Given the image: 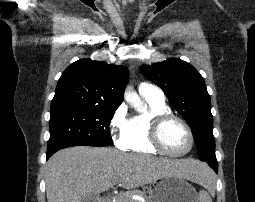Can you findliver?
<instances>
[{
  "instance_id": "1",
  "label": "liver",
  "mask_w": 255,
  "mask_h": 202,
  "mask_svg": "<svg viewBox=\"0 0 255 202\" xmlns=\"http://www.w3.org/2000/svg\"><path fill=\"white\" fill-rule=\"evenodd\" d=\"M194 159H166L128 154L110 147L78 146L55 153L46 164L47 202H82L88 194L98 195L116 183L132 189L165 175L199 182Z\"/></svg>"
}]
</instances>
